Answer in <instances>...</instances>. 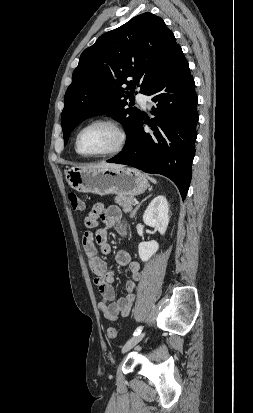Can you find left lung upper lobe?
Segmentation results:
<instances>
[{
  "mask_svg": "<svg viewBox=\"0 0 253 413\" xmlns=\"http://www.w3.org/2000/svg\"><path fill=\"white\" fill-rule=\"evenodd\" d=\"M179 47L164 21L148 12L100 36L82 52L65 93L61 115L64 144L80 122L107 114L126 129V148L142 117L140 110L131 104L127 107L126 100L133 98L136 86L146 95Z\"/></svg>",
  "mask_w": 253,
  "mask_h": 413,
  "instance_id": "obj_1",
  "label": "left lung upper lobe"
}]
</instances>
